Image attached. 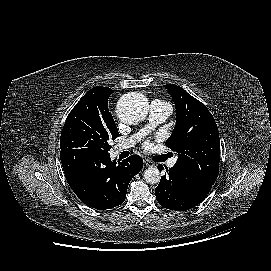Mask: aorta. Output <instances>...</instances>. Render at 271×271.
Wrapping results in <instances>:
<instances>
[{
  "label": "aorta",
  "mask_w": 271,
  "mask_h": 271,
  "mask_svg": "<svg viewBox=\"0 0 271 271\" xmlns=\"http://www.w3.org/2000/svg\"><path fill=\"white\" fill-rule=\"evenodd\" d=\"M148 112V103L144 96L128 94L121 98L119 104V117L122 121L134 124L143 120ZM144 180L149 184H157L160 179V171L156 167H149L144 171Z\"/></svg>",
  "instance_id": "762f6f07"
}]
</instances>
